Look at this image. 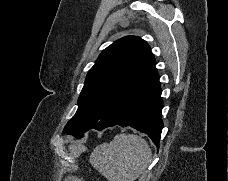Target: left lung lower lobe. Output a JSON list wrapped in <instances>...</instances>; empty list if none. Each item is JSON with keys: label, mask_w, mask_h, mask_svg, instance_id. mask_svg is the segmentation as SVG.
I'll return each instance as SVG.
<instances>
[{"label": "left lung lower lobe", "mask_w": 228, "mask_h": 181, "mask_svg": "<svg viewBox=\"0 0 228 181\" xmlns=\"http://www.w3.org/2000/svg\"><path fill=\"white\" fill-rule=\"evenodd\" d=\"M161 92L159 75L154 66L133 91L120 121L112 126H130L146 133L159 149L163 128ZM85 132L75 136L81 138Z\"/></svg>", "instance_id": "left-lung-lower-lobe-1"}]
</instances>
